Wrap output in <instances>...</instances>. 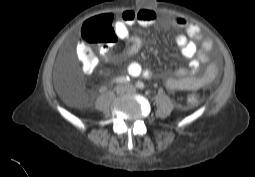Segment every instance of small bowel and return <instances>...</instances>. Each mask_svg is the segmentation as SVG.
Wrapping results in <instances>:
<instances>
[{
	"label": "small bowel",
	"mask_w": 255,
	"mask_h": 177,
	"mask_svg": "<svg viewBox=\"0 0 255 177\" xmlns=\"http://www.w3.org/2000/svg\"><path fill=\"white\" fill-rule=\"evenodd\" d=\"M106 16L110 22L113 21V16ZM159 19V14L151 8L126 10L121 14L119 19L113 23L112 29L120 40L129 42V46L121 53L122 58L136 55L142 47L141 39L132 34L129 28L134 25L150 26ZM170 27L174 31L180 32L175 38V43L180 48L182 56L189 62L187 68L177 69L165 78L166 88L170 91H193L204 87L214 79L217 73V66L210 64L205 74L198 76L196 73L202 64L209 62L213 42L207 38L202 39L200 27L194 23H189L183 18H172ZM197 40H201L200 46L197 45ZM81 47L82 45L79 46V48ZM102 53L106 61L113 59L107 50H102ZM94 67L95 64L91 68L82 65L86 73H90ZM127 72L133 77L150 78L152 76V72L144 69L138 62L129 63Z\"/></svg>",
	"instance_id": "c3829d8e"
}]
</instances>
